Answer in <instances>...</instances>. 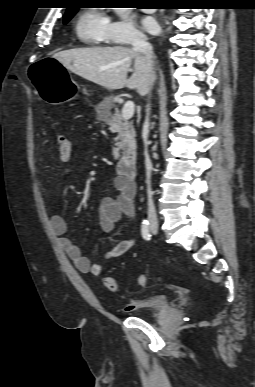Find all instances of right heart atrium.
<instances>
[{
  "mask_svg": "<svg viewBox=\"0 0 255 387\" xmlns=\"http://www.w3.org/2000/svg\"><path fill=\"white\" fill-rule=\"evenodd\" d=\"M107 42L118 45H133L146 40L145 34L138 29L129 16L111 20L106 27Z\"/></svg>",
  "mask_w": 255,
  "mask_h": 387,
  "instance_id": "obj_1",
  "label": "right heart atrium"
}]
</instances>
